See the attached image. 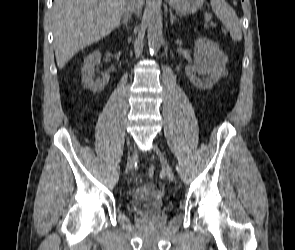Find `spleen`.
<instances>
[{
	"label": "spleen",
	"instance_id": "1",
	"mask_svg": "<svg viewBox=\"0 0 295 250\" xmlns=\"http://www.w3.org/2000/svg\"><path fill=\"white\" fill-rule=\"evenodd\" d=\"M213 12L230 32L233 41H241V24L235 10L225 0H210Z\"/></svg>",
	"mask_w": 295,
	"mask_h": 250
}]
</instances>
